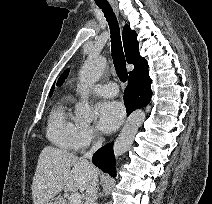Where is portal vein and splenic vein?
Listing matches in <instances>:
<instances>
[{"mask_svg":"<svg viewBox=\"0 0 212 204\" xmlns=\"http://www.w3.org/2000/svg\"><path fill=\"white\" fill-rule=\"evenodd\" d=\"M69 201L71 204H80L81 203V195L79 193H72L70 195Z\"/></svg>","mask_w":212,"mask_h":204,"instance_id":"18ae733b","label":"portal vein and splenic vein"}]
</instances>
